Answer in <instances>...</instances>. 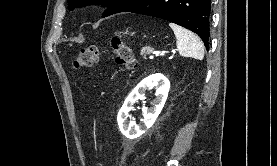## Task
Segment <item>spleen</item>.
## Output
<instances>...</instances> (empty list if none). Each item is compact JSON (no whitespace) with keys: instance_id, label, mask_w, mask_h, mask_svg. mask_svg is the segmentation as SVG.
Listing matches in <instances>:
<instances>
[{"instance_id":"3e777b00","label":"spleen","mask_w":277,"mask_h":166,"mask_svg":"<svg viewBox=\"0 0 277 166\" xmlns=\"http://www.w3.org/2000/svg\"><path fill=\"white\" fill-rule=\"evenodd\" d=\"M169 26L174 31L181 56L198 60L204 58V46L197 35L175 23H169Z\"/></svg>"}]
</instances>
